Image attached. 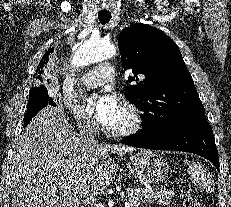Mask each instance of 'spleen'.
I'll return each instance as SVG.
<instances>
[{"label":"spleen","instance_id":"obj_1","mask_svg":"<svg viewBox=\"0 0 231 207\" xmlns=\"http://www.w3.org/2000/svg\"><path fill=\"white\" fill-rule=\"evenodd\" d=\"M185 163L188 167V174L192 182L199 186H203L206 189L208 188L209 190L212 186V183L209 178L206 177L203 166L199 162L188 160H186Z\"/></svg>","mask_w":231,"mask_h":207}]
</instances>
